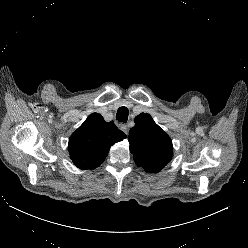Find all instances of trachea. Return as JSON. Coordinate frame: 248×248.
Returning a JSON list of instances; mask_svg holds the SVG:
<instances>
[{
    "label": "trachea",
    "instance_id": "1",
    "mask_svg": "<svg viewBox=\"0 0 248 248\" xmlns=\"http://www.w3.org/2000/svg\"><path fill=\"white\" fill-rule=\"evenodd\" d=\"M129 111L126 107H120L116 114V119L119 122L126 123L128 120Z\"/></svg>",
    "mask_w": 248,
    "mask_h": 248
}]
</instances>
